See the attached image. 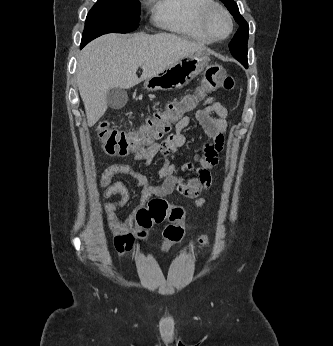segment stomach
I'll list each match as a JSON object with an SVG mask.
<instances>
[{
  "mask_svg": "<svg viewBox=\"0 0 333 346\" xmlns=\"http://www.w3.org/2000/svg\"><path fill=\"white\" fill-rule=\"evenodd\" d=\"M209 55L204 51L181 58L163 72L147 78L144 88L148 91L175 90L186 86L208 65Z\"/></svg>",
  "mask_w": 333,
  "mask_h": 346,
  "instance_id": "stomach-1",
  "label": "stomach"
}]
</instances>
